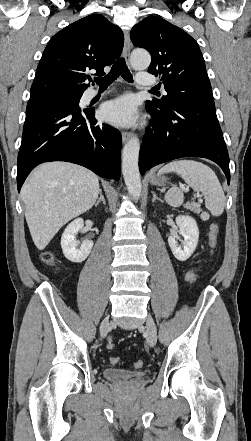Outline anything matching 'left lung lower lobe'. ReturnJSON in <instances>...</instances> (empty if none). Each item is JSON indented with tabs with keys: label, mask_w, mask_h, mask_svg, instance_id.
<instances>
[{
	"label": "left lung lower lobe",
	"mask_w": 251,
	"mask_h": 441,
	"mask_svg": "<svg viewBox=\"0 0 251 441\" xmlns=\"http://www.w3.org/2000/svg\"><path fill=\"white\" fill-rule=\"evenodd\" d=\"M151 114L150 132L143 137L139 168L143 175L155 165L181 158L204 157L217 163L230 183L229 156L213 100L195 99Z\"/></svg>",
	"instance_id": "obj_1"
}]
</instances>
